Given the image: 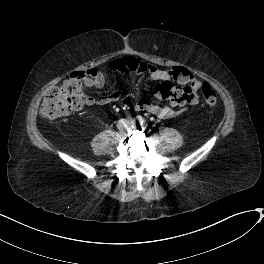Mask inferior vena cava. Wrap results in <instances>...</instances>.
Returning <instances> with one entry per match:
<instances>
[{"label": "inferior vena cava", "mask_w": 264, "mask_h": 264, "mask_svg": "<svg viewBox=\"0 0 264 264\" xmlns=\"http://www.w3.org/2000/svg\"><path fill=\"white\" fill-rule=\"evenodd\" d=\"M128 124H129V121L128 120H126V119H120L118 121V123H117V126H118V128L123 129L126 126H128Z\"/></svg>", "instance_id": "inferior-vena-cava-1"}]
</instances>
